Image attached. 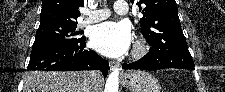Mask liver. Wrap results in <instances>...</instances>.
I'll return each mask as SVG.
<instances>
[{
    "label": "liver",
    "instance_id": "liver-1",
    "mask_svg": "<svg viewBox=\"0 0 225 92\" xmlns=\"http://www.w3.org/2000/svg\"><path fill=\"white\" fill-rule=\"evenodd\" d=\"M102 79L96 71L28 72L23 92H98Z\"/></svg>",
    "mask_w": 225,
    "mask_h": 92
}]
</instances>
